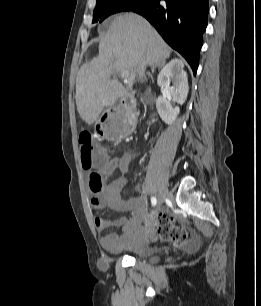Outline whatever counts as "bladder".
I'll list each match as a JSON object with an SVG mask.
<instances>
[{"label": "bladder", "instance_id": "31cf9c89", "mask_svg": "<svg viewBox=\"0 0 261 306\" xmlns=\"http://www.w3.org/2000/svg\"><path fill=\"white\" fill-rule=\"evenodd\" d=\"M132 257L136 260L147 263H156L158 260L156 251L145 242H140L137 244Z\"/></svg>", "mask_w": 261, "mask_h": 306}]
</instances>
